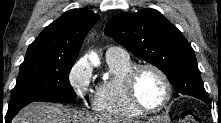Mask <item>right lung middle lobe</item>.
I'll return each mask as SVG.
<instances>
[{
    "label": "right lung middle lobe",
    "mask_w": 221,
    "mask_h": 123,
    "mask_svg": "<svg viewBox=\"0 0 221 123\" xmlns=\"http://www.w3.org/2000/svg\"><path fill=\"white\" fill-rule=\"evenodd\" d=\"M76 58L26 56L20 65L16 85L11 92L8 115L35 101H62L76 98L69 73Z\"/></svg>",
    "instance_id": "1"
}]
</instances>
